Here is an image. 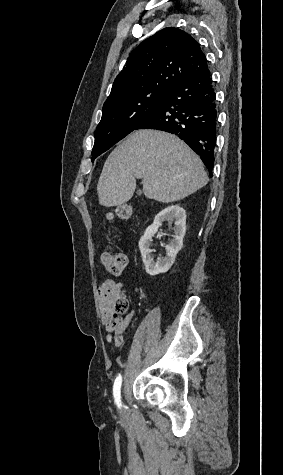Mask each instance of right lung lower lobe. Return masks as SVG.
Instances as JSON below:
<instances>
[{
    "mask_svg": "<svg viewBox=\"0 0 283 475\" xmlns=\"http://www.w3.org/2000/svg\"><path fill=\"white\" fill-rule=\"evenodd\" d=\"M217 113L216 95L209 72L173 87L135 130L156 129L177 135L200 156L212 177Z\"/></svg>",
    "mask_w": 283,
    "mask_h": 475,
    "instance_id": "right-lung-lower-lobe-1",
    "label": "right lung lower lobe"
}]
</instances>
